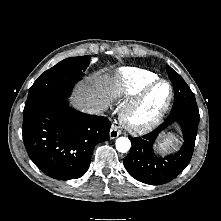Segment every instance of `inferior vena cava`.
Here are the masks:
<instances>
[{
	"mask_svg": "<svg viewBox=\"0 0 221 221\" xmlns=\"http://www.w3.org/2000/svg\"><path fill=\"white\" fill-rule=\"evenodd\" d=\"M86 112L89 114H94V115H102L104 112V107L102 106L91 107L87 109Z\"/></svg>",
	"mask_w": 221,
	"mask_h": 221,
	"instance_id": "inferior-vena-cava-1",
	"label": "inferior vena cava"
}]
</instances>
